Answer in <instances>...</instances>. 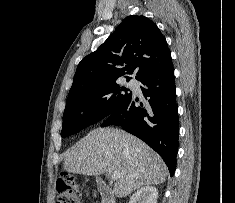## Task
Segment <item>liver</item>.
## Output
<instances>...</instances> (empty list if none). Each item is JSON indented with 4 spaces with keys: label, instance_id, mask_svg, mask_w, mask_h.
I'll return each mask as SVG.
<instances>
[{
    "label": "liver",
    "instance_id": "liver-1",
    "mask_svg": "<svg viewBox=\"0 0 235 203\" xmlns=\"http://www.w3.org/2000/svg\"><path fill=\"white\" fill-rule=\"evenodd\" d=\"M63 169L93 176L120 173L113 189L121 198L140 187L163 183L168 175L162 158L147 144L114 128L90 131L66 152Z\"/></svg>",
    "mask_w": 235,
    "mask_h": 203
}]
</instances>
